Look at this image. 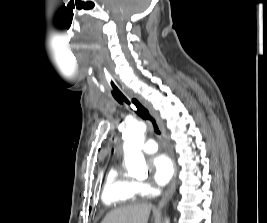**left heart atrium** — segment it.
<instances>
[{
	"mask_svg": "<svg viewBox=\"0 0 267 223\" xmlns=\"http://www.w3.org/2000/svg\"><path fill=\"white\" fill-rule=\"evenodd\" d=\"M153 181L163 186L172 178L175 166L172 158L167 154H158L151 160Z\"/></svg>",
	"mask_w": 267,
	"mask_h": 223,
	"instance_id": "39dd6f15",
	"label": "left heart atrium"
}]
</instances>
